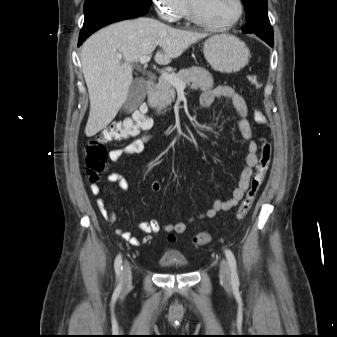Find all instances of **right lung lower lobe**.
I'll return each mask as SVG.
<instances>
[{"label":"right lung lower lobe","instance_id":"1","mask_svg":"<svg viewBox=\"0 0 337 337\" xmlns=\"http://www.w3.org/2000/svg\"><path fill=\"white\" fill-rule=\"evenodd\" d=\"M148 10L149 8L135 7L121 3H105L91 8L85 13L78 46L98 29L113 22L142 16L146 14Z\"/></svg>","mask_w":337,"mask_h":337}]
</instances>
